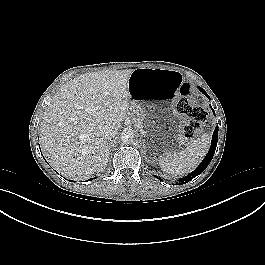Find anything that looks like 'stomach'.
<instances>
[{
    "label": "stomach",
    "mask_w": 265,
    "mask_h": 265,
    "mask_svg": "<svg viewBox=\"0 0 265 265\" xmlns=\"http://www.w3.org/2000/svg\"><path fill=\"white\" fill-rule=\"evenodd\" d=\"M182 76L165 69L138 68L128 81L127 114L148 157L163 160L178 147L176 112L170 101L177 98Z\"/></svg>",
    "instance_id": "obj_1"
}]
</instances>
